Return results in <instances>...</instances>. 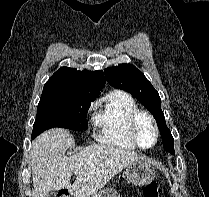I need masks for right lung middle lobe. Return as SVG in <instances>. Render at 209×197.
Wrapping results in <instances>:
<instances>
[{
  "instance_id": "obj_1",
  "label": "right lung middle lobe",
  "mask_w": 209,
  "mask_h": 197,
  "mask_svg": "<svg viewBox=\"0 0 209 197\" xmlns=\"http://www.w3.org/2000/svg\"><path fill=\"white\" fill-rule=\"evenodd\" d=\"M96 96L89 91L66 85H44L32 137L53 127L75 131L88 128L86 114Z\"/></svg>"
}]
</instances>
